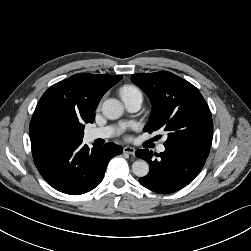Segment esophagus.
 <instances>
[{"label": "esophagus", "instance_id": "34e87169", "mask_svg": "<svg viewBox=\"0 0 251 251\" xmlns=\"http://www.w3.org/2000/svg\"><path fill=\"white\" fill-rule=\"evenodd\" d=\"M123 152L124 153H127V154H130V155H135V149L133 147H130V146H125L123 148Z\"/></svg>", "mask_w": 251, "mask_h": 251}]
</instances>
